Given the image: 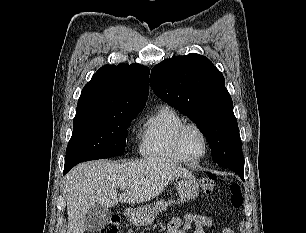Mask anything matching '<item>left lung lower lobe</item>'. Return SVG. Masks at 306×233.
<instances>
[{
    "label": "left lung lower lobe",
    "mask_w": 306,
    "mask_h": 233,
    "mask_svg": "<svg viewBox=\"0 0 306 233\" xmlns=\"http://www.w3.org/2000/svg\"><path fill=\"white\" fill-rule=\"evenodd\" d=\"M231 170H233L234 172H236L237 174H239V176L241 177V179H243L244 169L232 168Z\"/></svg>",
    "instance_id": "0a47b994"
}]
</instances>
